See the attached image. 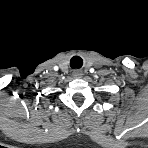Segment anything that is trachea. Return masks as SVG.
<instances>
[{
	"instance_id": "1",
	"label": "trachea",
	"mask_w": 148,
	"mask_h": 148,
	"mask_svg": "<svg viewBox=\"0 0 148 148\" xmlns=\"http://www.w3.org/2000/svg\"><path fill=\"white\" fill-rule=\"evenodd\" d=\"M83 64L82 59L79 56H74L72 57L71 61H70V66L72 68H80Z\"/></svg>"
}]
</instances>
